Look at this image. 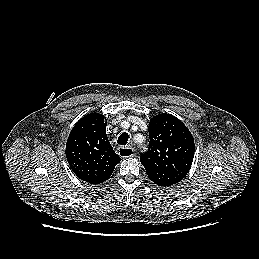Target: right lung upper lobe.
Here are the masks:
<instances>
[{
  "instance_id": "1",
  "label": "right lung upper lobe",
  "mask_w": 259,
  "mask_h": 259,
  "mask_svg": "<svg viewBox=\"0 0 259 259\" xmlns=\"http://www.w3.org/2000/svg\"><path fill=\"white\" fill-rule=\"evenodd\" d=\"M66 158L75 175L85 182L100 184L111 176L121 158L107 138L103 115L91 113L76 123L67 140Z\"/></svg>"
}]
</instances>
